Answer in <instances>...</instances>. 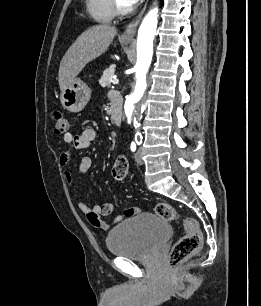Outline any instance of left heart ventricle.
<instances>
[{
	"label": "left heart ventricle",
	"instance_id": "left-heart-ventricle-1",
	"mask_svg": "<svg viewBox=\"0 0 261 306\" xmlns=\"http://www.w3.org/2000/svg\"><path fill=\"white\" fill-rule=\"evenodd\" d=\"M118 1V3L120 4V5H122V6H128L125 2H124V0H117Z\"/></svg>",
	"mask_w": 261,
	"mask_h": 306
}]
</instances>
